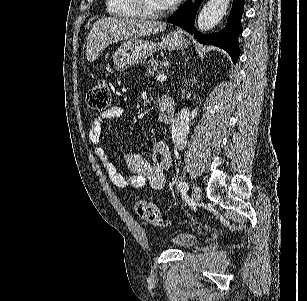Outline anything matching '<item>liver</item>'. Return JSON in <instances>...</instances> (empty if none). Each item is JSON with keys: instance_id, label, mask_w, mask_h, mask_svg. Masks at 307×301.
Segmentation results:
<instances>
[{"instance_id": "liver-1", "label": "liver", "mask_w": 307, "mask_h": 301, "mask_svg": "<svg viewBox=\"0 0 307 301\" xmlns=\"http://www.w3.org/2000/svg\"><path fill=\"white\" fill-rule=\"evenodd\" d=\"M166 22L155 20H138V18H123V16H106L94 22L88 36L86 56L90 62L96 60L106 46L119 40H132L140 36H151L165 30Z\"/></svg>"}]
</instances>
